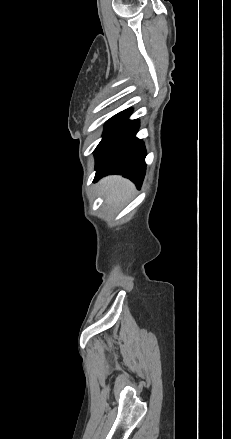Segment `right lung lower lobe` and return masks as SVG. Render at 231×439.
Returning <instances> with one entry per match:
<instances>
[{"mask_svg": "<svg viewBox=\"0 0 231 439\" xmlns=\"http://www.w3.org/2000/svg\"><path fill=\"white\" fill-rule=\"evenodd\" d=\"M139 122L130 121L109 136L96 148L95 180L108 174H121L141 186L145 175L146 150L142 140L135 137Z\"/></svg>", "mask_w": 231, "mask_h": 439, "instance_id": "98d812e1", "label": "right lung lower lobe"}]
</instances>
